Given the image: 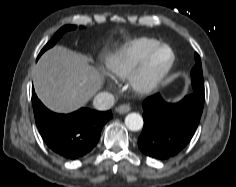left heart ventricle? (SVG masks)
<instances>
[{"label": "left heart ventricle", "mask_w": 236, "mask_h": 187, "mask_svg": "<svg viewBox=\"0 0 236 187\" xmlns=\"http://www.w3.org/2000/svg\"><path fill=\"white\" fill-rule=\"evenodd\" d=\"M169 58V51L164 49L162 51H160L157 56L155 57L154 60V66L155 67H159L162 64H164Z\"/></svg>", "instance_id": "obj_1"}]
</instances>
